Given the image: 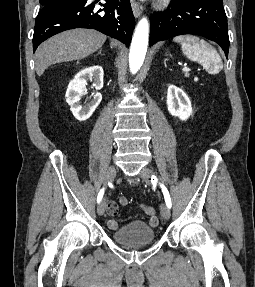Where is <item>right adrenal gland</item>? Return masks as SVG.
<instances>
[{
  "label": "right adrenal gland",
  "instance_id": "right-adrenal-gland-1",
  "mask_svg": "<svg viewBox=\"0 0 255 287\" xmlns=\"http://www.w3.org/2000/svg\"><path fill=\"white\" fill-rule=\"evenodd\" d=\"M96 56H104V54H102V50H100V52H98V54H96Z\"/></svg>",
  "mask_w": 255,
  "mask_h": 287
}]
</instances>
